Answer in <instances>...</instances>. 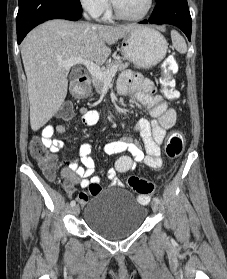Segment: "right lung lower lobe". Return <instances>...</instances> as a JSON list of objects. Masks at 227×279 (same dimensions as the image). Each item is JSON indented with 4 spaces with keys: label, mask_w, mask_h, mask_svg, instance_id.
Here are the masks:
<instances>
[{
    "label": "right lung lower lobe",
    "mask_w": 227,
    "mask_h": 279,
    "mask_svg": "<svg viewBox=\"0 0 227 279\" xmlns=\"http://www.w3.org/2000/svg\"><path fill=\"white\" fill-rule=\"evenodd\" d=\"M82 16L79 0H19L17 43L38 24L51 19L77 21Z\"/></svg>",
    "instance_id": "98d812e1"
}]
</instances>
